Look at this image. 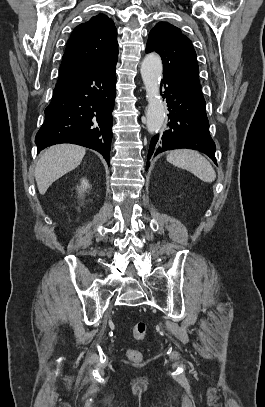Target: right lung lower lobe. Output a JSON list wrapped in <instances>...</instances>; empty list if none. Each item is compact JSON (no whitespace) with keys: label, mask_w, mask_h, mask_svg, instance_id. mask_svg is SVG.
<instances>
[{"label":"right lung lower lobe","mask_w":265,"mask_h":407,"mask_svg":"<svg viewBox=\"0 0 265 407\" xmlns=\"http://www.w3.org/2000/svg\"><path fill=\"white\" fill-rule=\"evenodd\" d=\"M116 63L56 85L45 121L36 134L38 152L59 143H73L101 153L107 163L112 141V111L116 96Z\"/></svg>","instance_id":"obj_1"}]
</instances>
